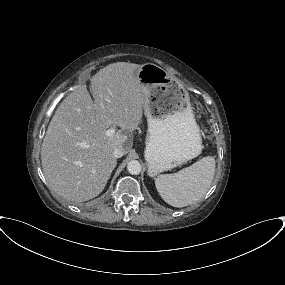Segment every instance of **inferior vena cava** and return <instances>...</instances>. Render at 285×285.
Masks as SVG:
<instances>
[{"label":"inferior vena cava","mask_w":285,"mask_h":285,"mask_svg":"<svg viewBox=\"0 0 285 285\" xmlns=\"http://www.w3.org/2000/svg\"><path fill=\"white\" fill-rule=\"evenodd\" d=\"M125 154V151L122 147L115 148L113 155L115 158H120Z\"/></svg>","instance_id":"obj_1"}]
</instances>
